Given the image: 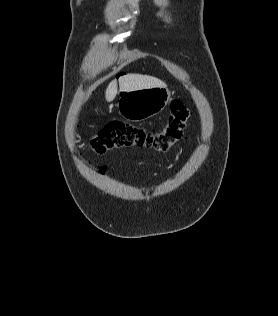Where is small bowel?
<instances>
[{
    "mask_svg": "<svg viewBox=\"0 0 278 316\" xmlns=\"http://www.w3.org/2000/svg\"><path fill=\"white\" fill-rule=\"evenodd\" d=\"M97 170L99 172H106L107 171V167L105 165H101V166H98Z\"/></svg>",
    "mask_w": 278,
    "mask_h": 316,
    "instance_id": "small-bowel-1",
    "label": "small bowel"
}]
</instances>
